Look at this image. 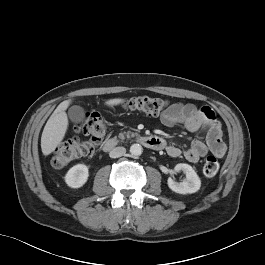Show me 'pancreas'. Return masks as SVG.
Masks as SVG:
<instances>
[{
  "label": "pancreas",
  "mask_w": 265,
  "mask_h": 265,
  "mask_svg": "<svg viewBox=\"0 0 265 265\" xmlns=\"http://www.w3.org/2000/svg\"><path fill=\"white\" fill-rule=\"evenodd\" d=\"M135 136H138V134L128 131V132L120 133L118 137L121 140H124L125 138H131V137H135Z\"/></svg>",
  "instance_id": "pancreas-1"
}]
</instances>
